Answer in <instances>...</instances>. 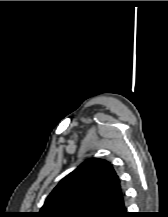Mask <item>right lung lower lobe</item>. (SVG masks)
<instances>
[{"instance_id":"obj_1","label":"right lung lower lobe","mask_w":168,"mask_h":217,"mask_svg":"<svg viewBox=\"0 0 168 217\" xmlns=\"http://www.w3.org/2000/svg\"><path fill=\"white\" fill-rule=\"evenodd\" d=\"M108 217H133L130 213L126 212V208L123 205L121 208H119L114 213L110 214Z\"/></svg>"}]
</instances>
